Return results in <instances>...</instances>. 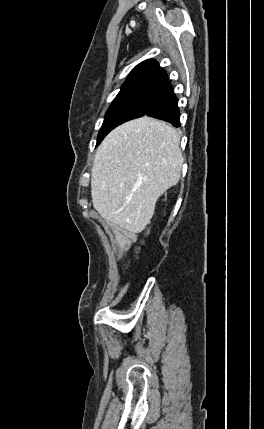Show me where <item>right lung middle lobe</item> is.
<instances>
[{
  "instance_id": "right-lung-middle-lobe-1",
  "label": "right lung middle lobe",
  "mask_w": 264,
  "mask_h": 429,
  "mask_svg": "<svg viewBox=\"0 0 264 429\" xmlns=\"http://www.w3.org/2000/svg\"><path fill=\"white\" fill-rule=\"evenodd\" d=\"M161 91L155 87L121 90L106 112L96 146L118 125L144 116Z\"/></svg>"
}]
</instances>
